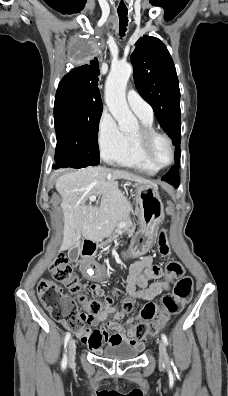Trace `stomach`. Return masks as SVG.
<instances>
[{
	"instance_id": "obj_1",
	"label": "stomach",
	"mask_w": 228,
	"mask_h": 396,
	"mask_svg": "<svg viewBox=\"0 0 228 396\" xmlns=\"http://www.w3.org/2000/svg\"><path fill=\"white\" fill-rule=\"evenodd\" d=\"M136 214L139 229L131 239L130 255L146 254L153 243L154 232L164 219V206L157 185L139 183L136 190Z\"/></svg>"
}]
</instances>
